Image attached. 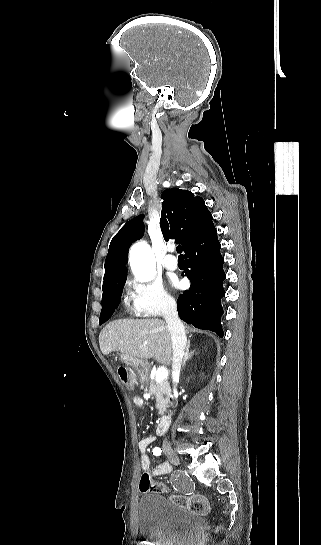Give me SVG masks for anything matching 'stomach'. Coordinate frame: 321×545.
Segmentation results:
<instances>
[{"mask_svg":"<svg viewBox=\"0 0 321 545\" xmlns=\"http://www.w3.org/2000/svg\"><path fill=\"white\" fill-rule=\"evenodd\" d=\"M121 361H124L128 367H132L137 375H145L150 365L147 359H136V357H130V355H121Z\"/></svg>","mask_w":321,"mask_h":545,"instance_id":"0dacf381","label":"stomach"}]
</instances>
